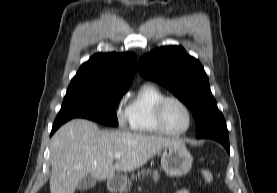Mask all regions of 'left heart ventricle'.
<instances>
[{
	"label": "left heart ventricle",
	"instance_id": "obj_1",
	"mask_svg": "<svg viewBox=\"0 0 277 193\" xmlns=\"http://www.w3.org/2000/svg\"><path fill=\"white\" fill-rule=\"evenodd\" d=\"M163 115L165 125L171 131L183 130L188 124L186 110L175 101L166 103Z\"/></svg>",
	"mask_w": 277,
	"mask_h": 193
}]
</instances>
